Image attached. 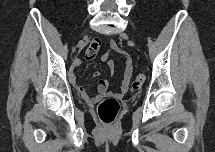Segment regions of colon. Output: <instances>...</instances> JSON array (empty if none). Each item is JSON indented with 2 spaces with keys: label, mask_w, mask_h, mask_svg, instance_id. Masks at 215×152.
<instances>
[{
  "label": "colon",
  "mask_w": 215,
  "mask_h": 152,
  "mask_svg": "<svg viewBox=\"0 0 215 152\" xmlns=\"http://www.w3.org/2000/svg\"><path fill=\"white\" fill-rule=\"evenodd\" d=\"M101 47V41L98 38L93 39L85 52V58L92 60L97 56L98 50ZM145 81V76L139 74L135 77L132 83V90L137 91L141 88ZM120 110L119 101L114 97H107L103 99L97 107V113L100 120L105 124H111L116 119Z\"/></svg>",
  "instance_id": "1"
}]
</instances>
